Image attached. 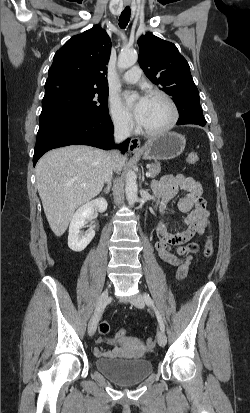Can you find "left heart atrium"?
Segmentation results:
<instances>
[{"instance_id": "left-heart-atrium-1", "label": "left heart atrium", "mask_w": 250, "mask_h": 413, "mask_svg": "<svg viewBox=\"0 0 250 413\" xmlns=\"http://www.w3.org/2000/svg\"><path fill=\"white\" fill-rule=\"evenodd\" d=\"M148 100L149 98L147 96H141L134 105V109H133V113L134 116L136 118V120L141 123L143 118H144V114H145V110L148 104Z\"/></svg>"}]
</instances>
